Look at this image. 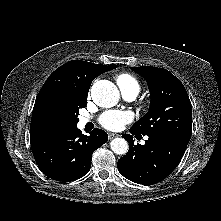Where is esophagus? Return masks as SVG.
Instances as JSON below:
<instances>
[{
    "mask_svg": "<svg viewBox=\"0 0 221 221\" xmlns=\"http://www.w3.org/2000/svg\"><path fill=\"white\" fill-rule=\"evenodd\" d=\"M118 136H119V134H116V133H109L108 134L109 139H113V138L118 137Z\"/></svg>",
    "mask_w": 221,
    "mask_h": 221,
    "instance_id": "34e87169",
    "label": "esophagus"
}]
</instances>
